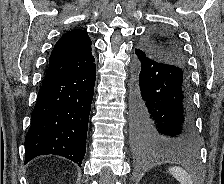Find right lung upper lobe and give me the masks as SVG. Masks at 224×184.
I'll return each instance as SVG.
<instances>
[{
    "instance_id": "right-lung-upper-lobe-1",
    "label": "right lung upper lobe",
    "mask_w": 224,
    "mask_h": 184,
    "mask_svg": "<svg viewBox=\"0 0 224 184\" xmlns=\"http://www.w3.org/2000/svg\"><path fill=\"white\" fill-rule=\"evenodd\" d=\"M92 42L86 31L76 29L64 34L49 57L46 76H58L80 71L94 62Z\"/></svg>"
}]
</instances>
